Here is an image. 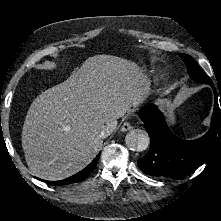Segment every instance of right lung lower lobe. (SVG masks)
I'll list each match as a JSON object with an SVG mask.
<instances>
[{
  "label": "right lung lower lobe",
  "instance_id": "right-lung-lower-lobe-1",
  "mask_svg": "<svg viewBox=\"0 0 221 221\" xmlns=\"http://www.w3.org/2000/svg\"><path fill=\"white\" fill-rule=\"evenodd\" d=\"M99 156H100V153L94 158V160L87 167H85L83 170H81L80 172L76 173L75 175H73L69 178L59 180V181H44V182L51 184V185L63 186V185H69V184L83 181L96 168L97 162L99 160Z\"/></svg>",
  "mask_w": 221,
  "mask_h": 221
}]
</instances>
